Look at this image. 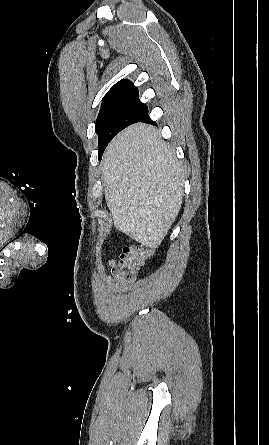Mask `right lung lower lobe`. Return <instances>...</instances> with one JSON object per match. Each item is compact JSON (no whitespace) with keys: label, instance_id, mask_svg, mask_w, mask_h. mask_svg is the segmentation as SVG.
Returning <instances> with one entry per match:
<instances>
[{"label":"right lung lower lobe","instance_id":"98d812e1","mask_svg":"<svg viewBox=\"0 0 269 445\" xmlns=\"http://www.w3.org/2000/svg\"><path fill=\"white\" fill-rule=\"evenodd\" d=\"M138 122L153 123V121L148 116V112Z\"/></svg>","mask_w":269,"mask_h":445}]
</instances>
